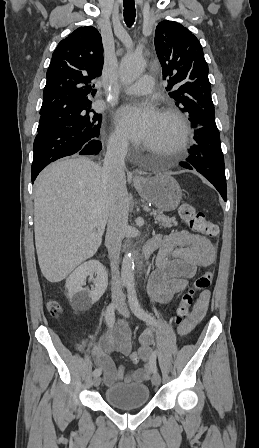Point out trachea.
Here are the masks:
<instances>
[{"instance_id": "trachea-1", "label": "trachea", "mask_w": 259, "mask_h": 448, "mask_svg": "<svg viewBox=\"0 0 259 448\" xmlns=\"http://www.w3.org/2000/svg\"><path fill=\"white\" fill-rule=\"evenodd\" d=\"M124 3V20L130 27L135 21V2L134 0H123Z\"/></svg>"}]
</instances>
